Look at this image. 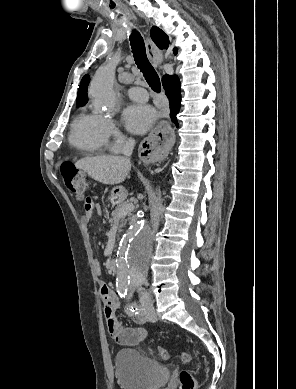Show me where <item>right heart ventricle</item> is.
I'll return each instance as SVG.
<instances>
[{"label":"right heart ventricle","mask_w":296,"mask_h":389,"mask_svg":"<svg viewBox=\"0 0 296 389\" xmlns=\"http://www.w3.org/2000/svg\"><path fill=\"white\" fill-rule=\"evenodd\" d=\"M105 122L106 119L95 113L79 114L71 126L70 144L87 154L105 153L109 149Z\"/></svg>","instance_id":"right-heart-ventricle-1"}]
</instances>
